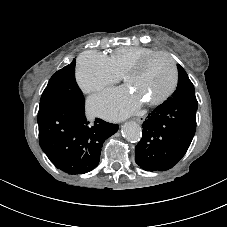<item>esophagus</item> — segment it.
Masks as SVG:
<instances>
[{"mask_svg":"<svg viewBox=\"0 0 227 227\" xmlns=\"http://www.w3.org/2000/svg\"><path fill=\"white\" fill-rule=\"evenodd\" d=\"M135 121L137 123L141 124L145 121V117H143V116L137 117V118H135Z\"/></svg>","mask_w":227,"mask_h":227,"instance_id":"34e87169","label":"esophagus"}]
</instances>
